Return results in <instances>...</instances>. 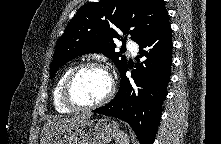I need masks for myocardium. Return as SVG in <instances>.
Masks as SVG:
<instances>
[{
  "mask_svg": "<svg viewBox=\"0 0 221 144\" xmlns=\"http://www.w3.org/2000/svg\"><path fill=\"white\" fill-rule=\"evenodd\" d=\"M88 68H97V69L104 71L109 77L110 87H109L108 92L106 93V95L102 99H100L99 101H97L95 103L84 105V104L77 103L72 98L71 87H72V84H73L75 78L78 76V74ZM114 92H115V83H114V80H113L111 74L109 73L107 67L104 64L97 62V61H88V62H83V63L77 65L67 75V77L65 78V80L62 84V88H61V100H62L63 104L72 111L91 110V109L98 108V107L103 106L106 103H108L111 100V98L113 97Z\"/></svg>",
  "mask_w": 221,
  "mask_h": 144,
  "instance_id": "obj_1",
  "label": "myocardium"
}]
</instances>
